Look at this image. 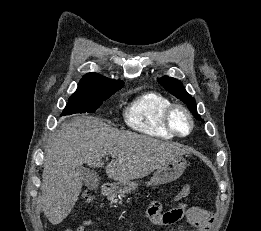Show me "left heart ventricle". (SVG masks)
<instances>
[{
  "label": "left heart ventricle",
  "instance_id": "left-heart-ventricle-1",
  "mask_svg": "<svg viewBox=\"0 0 261 231\" xmlns=\"http://www.w3.org/2000/svg\"><path fill=\"white\" fill-rule=\"evenodd\" d=\"M173 123H174L176 130L182 134L187 133L190 129V122H189L187 116L180 111H177L173 115Z\"/></svg>",
  "mask_w": 261,
  "mask_h": 231
}]
</instances>
